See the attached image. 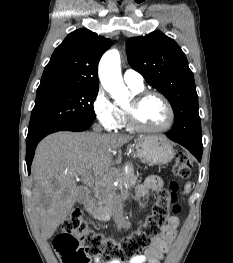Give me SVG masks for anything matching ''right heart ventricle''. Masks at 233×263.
Listing matches in <instances>:
<instances>
[{"label":"right heart ventricle","mask_w":233,"mask_h":263,"mask_svg":"<svg viewBox=\"0 0 233 263\" xmlns=\"http://www.w3.org/2000/svg\"><path fill=\"white\" fill-rule=\"evenodd\" d=\"M129 88H130L132 94H135V93L140 92V91L143 90V87L137 88V87L129 86ZM117 110H118V112L120 114V117H121L119 128L120 127H125L126 126V118H125L124 110L122 108H118V107H117Z\"/></svg>","instance_id":"obj_1"}]
</instances>
